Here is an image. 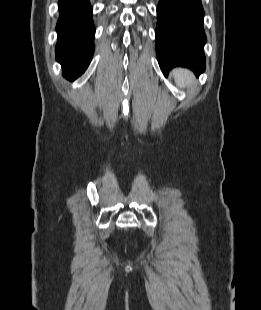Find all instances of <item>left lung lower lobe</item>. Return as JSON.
<instances>
[{"mask_svg": "<svg viewBox=\"0 0 261 310\" xmlns=\"http://www.w3.org/2000/svg\"><path fill=\"white\" fill-rule=\"evenodd\" d=\"M201 0H159L156 52L165 76L174 66H186L196 74L205 70Z\"/></svg>", "mask_w": 261, "mask_h": 310, "instance_id": "0a47b994", "label": "left lung lower lobe"}]
</instances>
